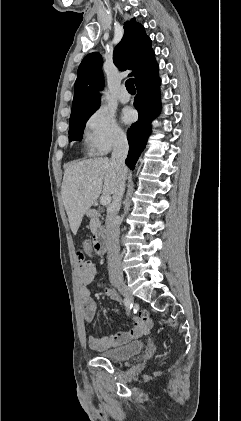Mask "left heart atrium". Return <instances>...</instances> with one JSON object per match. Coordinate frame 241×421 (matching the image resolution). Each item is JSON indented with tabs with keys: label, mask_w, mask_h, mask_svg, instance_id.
<instances>
[{
	"label": "left heart atrium",
	"mask_w": 241,
	"mask_h": 421,
	"mask_svg": "<svg viewBox=\"0 0 241 421\" xmlns=\"http://www.w3.org/2000/svg\"><path fill=\"white\" fill-rule=\"evenodd\" d=\"M135 118V114L132 110H127L124 113L123 120L127 123L132 122Z\"/></svg>",
	"instance_id": "39dd6f15"
}]
</instances>
